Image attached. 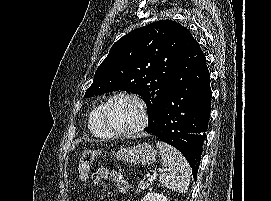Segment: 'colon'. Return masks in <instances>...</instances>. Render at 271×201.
Returning <instances> with one entry per match:
<instances>
[{
  "instance_id": "colon-1",
  "label": "colon",
  "mask_w": 271,
  "mask_h": 201,
  "mask_svg": "<svg viewBox=\"0 0 271 201\" xmlns=\"http://www.w3.org/2000/svg\"><path fill=\"white\" fill-rule=\"evenodd\" d=\"M97 156V151L88 150L85 151L78 163V176L82 183H85L88 179L90 167Z\"/></svg>"
}]
</instances>
